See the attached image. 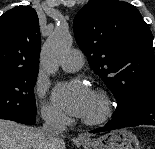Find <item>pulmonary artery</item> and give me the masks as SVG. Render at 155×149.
Wrapping results in <instances>:
<instances>
[{"mask_svg":"<svg viewBox=\"0 0 155 149\" xmlns=\"http://www.w3.org/2000/svg\"><path fill=\"white\" fill-rule=\"evenodd\" d=\"M82 65L83 55L77 49H72L68 51L60 61L61 68L67 72L77 71L82 67Z\"/></svg>","mask_w":155,"mask_h":149,"instance_id":"e3ab8cb5","label":"pulmonary artery"}]
</instances>
